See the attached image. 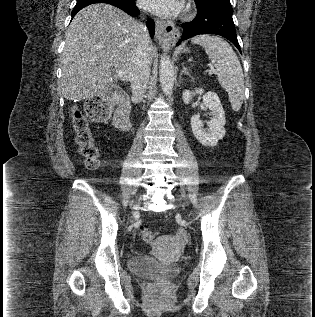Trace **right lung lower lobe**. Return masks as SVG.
Segmentation results:
<instances>
[{
	"instance_id": "right-lung-lower-lobe-1",
	"label": "right lung lower lobe",
	"mask_w": 315,
	"mask_h": 317,
	"mask_svg": "<svg viewBox=\"0 0 315 317\" xmlns=\"http://www.w3.org/2000/svg\"><path fill=\"white\" fill-rule=\"evenodd\" d=\"M95 3H107L120 8L131 16H137L139 10L135 5V0H77L76 6L72 11V17H74L78 11H80L85 6ZM147 27L150 32L151 38L154 36V21L149 19L147 22Z\"/></svg>"
}]
</instances>
